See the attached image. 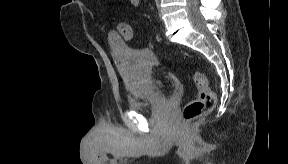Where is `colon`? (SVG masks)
<instances>
[{"instance_id":"1","label":"colon","mask_w":288,"mask_h":164,"mask_svg":"<svg viewBox=\"0 0 288 164\" xmlns=\"http://www.w3.org/2000/svg\"><path fill=\"white\" fill-rule=\"evenodd\" d=\"M118 30L126 40L133 38L132 29L127 22H120ZM191 79L197 89V96L186 103L182 111V120H195V118L210 113L216 103L214 91L210 87L209 79L203 74L194 71Z\"/></svg>"}]
</instances>
